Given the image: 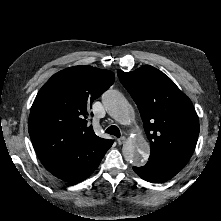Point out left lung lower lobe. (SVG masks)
I'll return each mask as SVG.
<instances>
[{"label":"left lung lower lobe","instance_id":"left-lung-lower-lobe-1","mask_svg":"<svg viewBox=\"0 0 221 221\" xmlns=\"http://www.w3.org/2000/svg\"><path fill=\"white\" fill-rule=\"evenodd\" d=\"M133 170L148 182H165L174 177L179 171L148 161L141 167H133Z\"/></svg>","mask_w":221,"mask_h":221}]
</instances>
